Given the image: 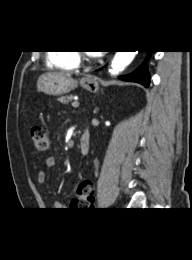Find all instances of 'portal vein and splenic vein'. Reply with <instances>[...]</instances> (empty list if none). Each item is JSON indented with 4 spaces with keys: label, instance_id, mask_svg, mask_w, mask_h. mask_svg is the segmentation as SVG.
I'll list each match as a JSON object with an SVG mask.
<instances>
[{
    "label": "portal vein and splenic vein",
    "instance_id": "18ae733b",
    "mask_svg": "<svg viewBox=\"0 0 192 260\" xmlns=\"http://www.w3.org/2000/svg\"><path fill=\"white\" fill-rule=\"evenodd\" d=\"M78 106H79V102L78 101L72 102V107L77 108Z\"/></svg>",
    "mask_w": 192,
    "mask_h": 260
}]
</instances>
